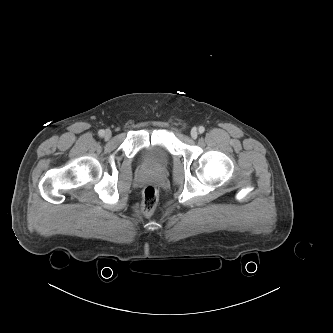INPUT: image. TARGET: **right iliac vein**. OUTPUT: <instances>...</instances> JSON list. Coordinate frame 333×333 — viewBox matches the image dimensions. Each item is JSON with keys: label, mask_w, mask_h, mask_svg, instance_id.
Here are the masks:
<instances>
[{"label": "right iliac vein", "mask_w": 333, "mask_h": 333, "mask_svg": "<svg viewBox=\"0 0 333 333\" xmlns=\"http://www.w3.org/2000/svg\"><path fill=\"white\" fill-rule=\"evenodd\" d=\"M111 135H112L111 131H110V130H107V131L104 133V138H105L106 140H109V139L111 138Z\"/></svg>", "instance_id": "right-iliac-vein-1"}]
</instances>
